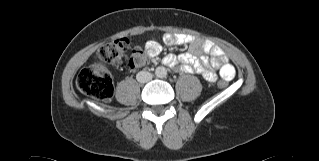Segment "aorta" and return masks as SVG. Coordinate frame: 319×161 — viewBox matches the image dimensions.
<instances>
[{"instance_id": "762f6f07", "label": "aorta", "mask_w": 319, "mask_h": 161, "mask_svg": "<svg viewBox=\"0 0 319 161\" xmlns=\"http://www.w3.org/2000/svg\"><path fill=\"white\" fill-rule=\"evenodd\" d=\"M155 75L159 78H163L167 75V70L165 67L163 66H159L156 68L155 70Z\"/></svg>"}]
</instances>
